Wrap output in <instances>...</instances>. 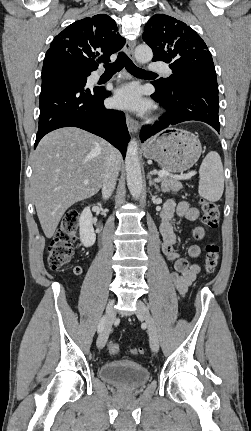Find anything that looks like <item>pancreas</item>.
I'll return each instance as SVG.
<instances>
[{"label": "pancreas", "mask_w": 251, "mask_h": 431, "mask_svg": "<svg viewBox=\"0 0 251 431\" xmlns=\"http://www.w3.org/2000/svg\"><path fill=\"white\" fill-rule=\"evenodd\" d=\"M161 189L163 192H178L183 188V185L178 179L172 177H161Z\"/></svg>", "instance_id": "obj_1"}]
</instances>
